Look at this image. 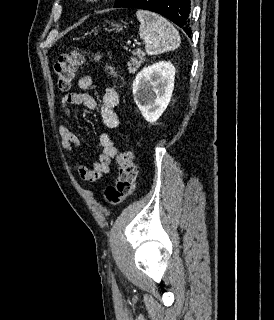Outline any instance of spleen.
Wrapping results in <instances>:
<instances>
[{"instance_id": "spleen-1", "label": "spleen", "mask_w": 274, "mask_h": 320, "mask_svg": "<svg viewBox=\"0 0 274 320\" xmlns=\"http://www.w3.org/2000/svg\"><path fill=\"white\" fill-rule=\"evenodd\" d=\"M136 16L140 22L139 36L144 40L149 56H157L179 48L180 36L168 20L145 10H138Z\"/></svg>"}]
</instances>
